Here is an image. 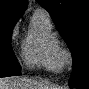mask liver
Returning <instances> with one entry per match:
<instances>
[{
  "mask_svg": "<svg viewBox=\"0 0 89 89\" xmlns=\"http://www.w3.org/2000/svg\"><path fill=\"white\" fill-rule=\"evenodd\" d=\"M0 83L1 89H45L40 83L31 79H2Z\"/></svg>",
  "mask_w": 89,
  "mask_h": 89,
  "instance_id": "obj_1",
  "label": "liver"
}]
</instances>
